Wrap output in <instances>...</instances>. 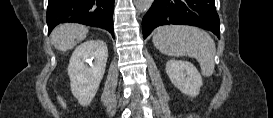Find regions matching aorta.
<instances>
[{"label": "aorta", "mask_w": 273, "mask_h": 118, "mask_svg": "<svg viewBox=\"0 0 273 118\" xmlns=\"http://www.w3.org/2000/svg\"><path fill=\"white\" fill-rule=\"evenodd\" d=\"M153 0H136V9L139 12H146L152 5Z\"/></svg>", "instance_id": "1"}]
</instances>
